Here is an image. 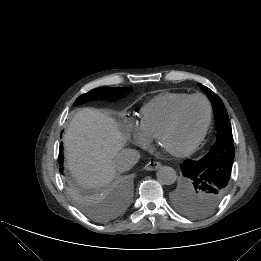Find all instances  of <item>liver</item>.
<instances>
[{
  "label": "liver",
  "instance_id": "obj_1",
  "mask_svg": "<svg viewBox=\"0 0 261 261\" xmlns=\"http://www.w3.org/2000/svg\"><path fill=\"white\" fill-rule=\"evenodd\" d=\"M67 167L85 188L101 187L115 177L113 161L125 144L117 122L98 109L83 108L64 136Z\"/></svg>",
  "mask_w": 261,
  "mask_h": 261
}]
</instances>
